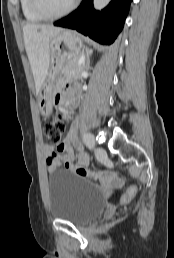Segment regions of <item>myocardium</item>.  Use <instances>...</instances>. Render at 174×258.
<instances>
[{
  "label": "myocardium",
  "instance_id": "myocardium-1",
  "mask_svg": "<svg viewBox=\"0 0 174 258\" xmlns=\"http://www.w3.org/2000/svg\"><path fill=\"white\" fill-rule=\"evenodd\" d=\"M33 9L43 18L53 20L64 17L71 13L78 5L79 0H73V2L64 10L58 13L50 12L43 3V0H31Z\"/></svg>",
  "mask_w": 174,
  "mask_h": 258
}]
</instances>
